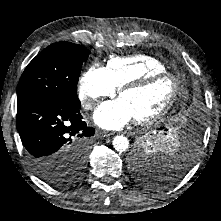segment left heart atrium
Segmentation results:
<instances>
[{
    "instance_id": "1",
    "label": "left heart atrium",
    "mask_w": 221,
    "mask_h": 221,
    "mask_svg": "<svg viewBox=\"0 0 221 221\" xmlns=\"http://www.w3.org/2000/svg\"><path fill=\"white\" fill-rule=\"evenodd\" d=\"M133 119L130 108L121 98L100 104L94 113L96 124L109 130L120 129Z\"/></svg>"
}]
</instances>
